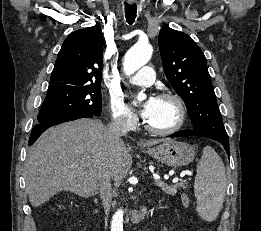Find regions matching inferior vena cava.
Wrapping results in <instances>:
<instances>
[{"mask_svg":"<svg viewBox=\"0 0 261 231\" xmlns=\"http://www.w3.org/2000/svg\"><path fill=\"white\" fill-rule=\"evenodd\" d=\"M108 139L111 141H117L127 134V124L124 119L116 118L112 120L108 126ZM111 174L108 170L103 169L100 175V196L106 216H108L111 202H112V185Z\"/></svg>","mask_w":261,"mask_h":231,"instance_id":"1","label":"inferior vena cava"}]
</instances>
